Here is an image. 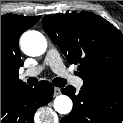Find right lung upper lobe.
Wrapping results in <instances>:
<instances>
[{
  "label": "right lung upper lobe",
  "mask_w": 123,
  "mask_h": 123,
  "mask_svg": "<svg viewBox=\"0 0 123 123\" xmlns=\"http://www.w3.org/2000/svg\"><path fill=\"white\" fill-rule=\"evenodd\" d=\"M41 16H1V91L18 90L27 84L19 79V68L23 65L19 50L21 34L32 27Z\"/></svg>",
  "instance_id": "cb5924a9"
}]
</instances>
